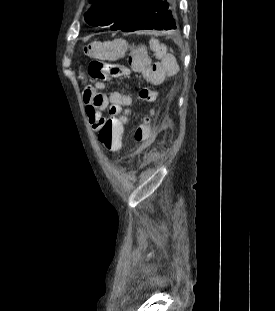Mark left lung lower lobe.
<instances>
[{"label": "left lung lower lobe", "mask_w": 275, "mask_h": 311, "mask_svg": "<svg viewBox=\"0 0 275 311\" xmlns=\"http://www.w3.org/2000/svg\"><path fill=\"white\" fill-rule=\"evenodd\" d=\"M177 28L169 0H145L120 30L126 32L137 30L173 31Z\"/></svg>", "instance_id": "obj_1"}]
</instances>
